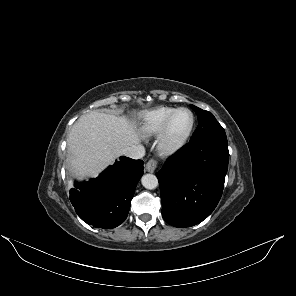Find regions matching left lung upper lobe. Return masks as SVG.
Returning <instances> with one entry per match:
<instances>
[{
  "label": "left lung upper lobe",
  "instance_id": "left-lung-upper-lobe-1",
  "mask_svg": "<svg viewBox=\"0 0 296 296\" xmlns=\"http://www.w3.org/2000/svg\"><path fill=\"white\" fill-rule=\"evenodd\" d=\"M191 107L197 114L199 125L193 133L189 143L213 137L226 136L224 128L217 122L211 112L202 110L194 105H191Z\"/></svg>",
  "mask_w": 296,
  "mask_h": 296
}]
</instances>
